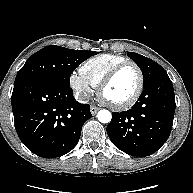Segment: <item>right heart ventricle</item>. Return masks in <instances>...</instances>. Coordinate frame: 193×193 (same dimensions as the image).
I'll list each match as a JSON object with an SVG mask.
<instances>
[{
	"label": "right heart ventricle",
	"instance_id": "1",
	"mask_svg": "<svg viewBox=\"0 0 193 193\" xmlns=\"http://www.w3.org/2000/svg\"><path fill=\"white\" fill-rule=\"evenodd\" d=\"M123 56L114 54H100L84 61L80 68V74L93 87H98L105 75L117 65L127 62Z\"/></svg>",
	"mask_w": 193,
	"mask_h": 193
}]
</instances>
